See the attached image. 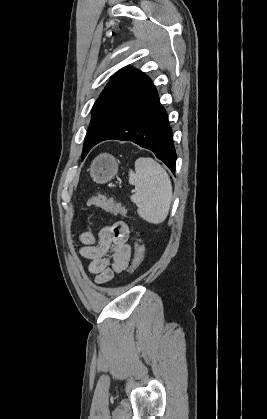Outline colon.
<instances>
[{
	"label": "colon",
	"mask_w": 267,
	"mask_h": 419,
	"mask_svg": "<svg viewBox=\"0 0 267 419\" xmlns=\"http://www.w3.org/2000/svg\"><path fill=\"white\" fill-rule=\"evenodd\" d=\"M87 204L89 206L99 207L114 215H121L125 218L128 217L127 210L125 209V207H123L120 203L115 202L113 199L101 194L91 196L88 199ZM143 258L144 246L142 245L138 235H136L134 243V256L130 267V272H134L137 270V268L141 265Z\"/></svg>",
	"instance_id": "5ec220e1"
}]
</instances>
